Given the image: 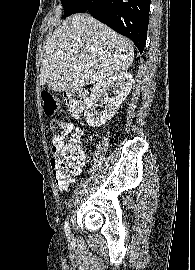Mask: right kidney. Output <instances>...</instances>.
Masks as SVG:
<instances>
[{
  "mask_svg": "<svg viewBox=\"0 0 195 270\" xmlns=\"http://www.w3.org/2000/svg\"><path fill=\"white\" fill-rule=\"evenodd\" d=\"M132 83L133 75L129 72H123L118 76L109 77L96 83L91 89V95L84 109L87 124L91 127H100L109 121L130 93ZM112 86L115 87L114 96L104 100L105 107L103 111H97L96 104L99 98Z\"/></svg>",
  "mask_w": 195,
  "mask_h": 270,
  "instance_id": "right-kidney-1",
  "label": "right kidney"
}]
</instances>
